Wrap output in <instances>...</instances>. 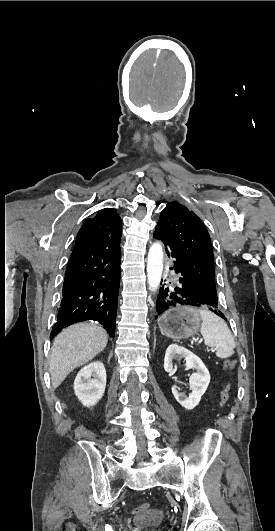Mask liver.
Returning a JSON list of instances; mask_svg holds the SVG:
<instances>
[{
	"mask_svg": "<svg viewBox=\"0 0 275 531\" xmlns=\"http://www.w3.org/2000/svg\"><path fill=\"white\" fill-rule=\"evenodd\" d=\"M108 335L99 325L78 323L63 329L54 339L50 373L53 389H57L76 367L92 361L105 349Z\"/></svg>",
	"mask_w": 275,
	"mask_h": 531,
	"instance_id": "liver-1",
	"label": "liver"
}]
</instances>
